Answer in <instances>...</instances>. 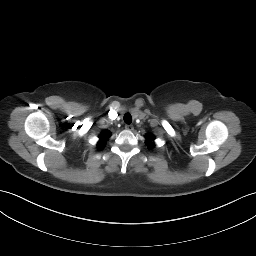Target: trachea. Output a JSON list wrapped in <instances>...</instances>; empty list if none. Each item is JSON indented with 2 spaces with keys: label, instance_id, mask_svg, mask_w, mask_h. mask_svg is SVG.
Segmentation results:
<instances>
[{
  "label": "trachea",
  "instance_id": "obj_1",
  "mask_svg": "<svg viewBox=\"0 0 256 256\" xmlns=\"http://www.w3.org/2000/svg\"><path fill=\"white\" fill-rule=\"evenodd\" d=\"M124 122H125L126 124H131V122H132V117H131V115H130L129 113H126V114L124 115Z\"/></svg>",
  "mask_w": 256,
  "mask_h": 256
}]
</instances>
